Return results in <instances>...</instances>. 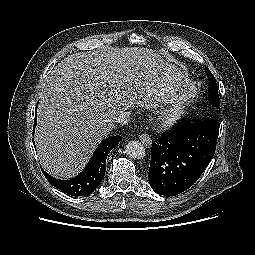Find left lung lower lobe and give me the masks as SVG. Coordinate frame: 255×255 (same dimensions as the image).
<instances>
[{
  "label": "left lung lower lobe",
  "instance_id": "1",
  "mask_svg": "<svg viewBox=\"0 0 255 255\" xmlns=\"http://www.w3.org/2000/svg\"><path fill=\"white\" fill-rule=\"evenodd\" d=\"M219 127L212 119L182 122L153 143L148 173L152 189L174 196L190 188L214 156Z\"/></svg>",
  "mask_w": 255,
  "mask_h": 255
}]
</instances>
